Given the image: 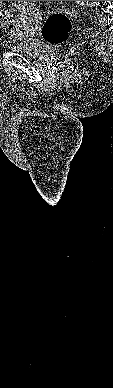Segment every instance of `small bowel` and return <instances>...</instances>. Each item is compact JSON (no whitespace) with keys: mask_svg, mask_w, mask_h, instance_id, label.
I'll return each instance as SVG.
<instances>
[{"mask_svg":"<svg viewBox=\"0 0 113 388\" xmlns=\"http://www.w3.org/2000/svg\"><path fill=\"white\" fill-rule=\"evenodd\" d=\"M9 6H11L15 10H19L20 14L18 15L17 21L26 22L31 15H39L38 12L28 11L27 2L26 1H7ZM6 3L4 1H0V4ZM25 3V4H24ZM27 9V10H26ZM26 10V11H24ZM16 28H14L15 30Z\"/></svg>","mask_w":113,"mask_h":388,"instance_id":"c3829d8e","label":"small bowel"}]
</instances>
